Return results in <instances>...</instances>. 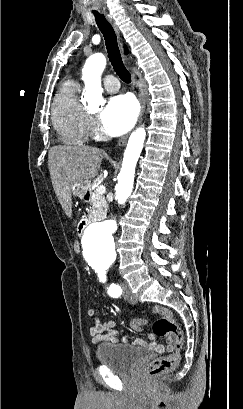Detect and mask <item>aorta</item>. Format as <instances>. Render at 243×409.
Segmentation results:
<instances>
[{"mask_svg":"<svg viewBox=\"0 0 243 409\" xmlns=\"http://www.w3.org/2000/svg\"><path fill=\"white\" fill-rule=\"evenodd\" d=\"M105 66L106 58L100 53L91 55L85 62L82 79L85 84L84 96L89 106L98 107L103 102L101 74ZM145 137L146 131L144 127H140L131 134L128 140L116 185V199L120 205L125 204L132 193L135 168L143 149ZM116 226V221L113 219L89 224L82 236L84 255L96 259L113 257L115 255L113 234Z\"/></svg>","mask_w":243,"mask_h":409,"instance_id":"obj_1","label":"aorta"}]
</instances>
